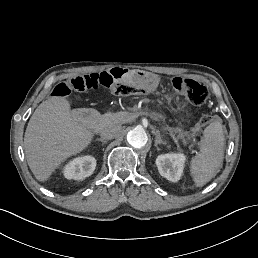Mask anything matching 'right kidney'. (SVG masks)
I'll return each mask as SVG.
<instances>
[{
  "mask_svg": "<svg viewBox=\"0 0 258 258\" xmlns=\"http://www.w3.org/2000/svg\"><path fill=\"white\" fill-rule=\"evenodd\" d=\"M96 159L93 156L77 157L65 165L63 173L65 178L82 180L93 174Z\"/></svg>",
  "mask_w": 258,
  "mask_h": 258,
  "instance_id": "right-kidney-1",
  "label": "right kidney"
}]
</instances>
